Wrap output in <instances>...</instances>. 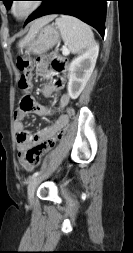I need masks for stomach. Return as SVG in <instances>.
<instances>
[{
	"mask_svg": "<svg viewBox=\"0 0 133 253\" xmlns=\"http://www.w3.org/2000/svg\"><path fill=\"white\" fill-rule=\"evenodd\" d=\"M60 42V33L54 25H47L27 39L21 48L25 49V54L40 55L46 53Z\"/></svg>",
	"mask_w": 133,
	"mask_h": 253,
	"instance_id": "1",
	"label": "stomach"
}]
</instances>
